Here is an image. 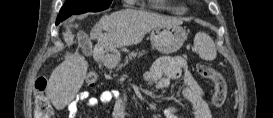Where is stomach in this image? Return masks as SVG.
<instances>
[{
	"label": "stomach",
	"instance_id": "0dacf381",
	"mask_svg": "<svg viewBox=\"0 0 273 118\" xmlns=\"http://www.w3.org/2000/svg\"><path fill=\"white\" fill-rule=\"evenodd\" d=\"M187 35L179 25H161L152 29L150 40L152 46L163 54H171L181 48ZM120 60L117 53L108 54L104 57V65L114 68Z\"/></svg>",
	"mask_w": 273,
	"mask_h": 118
}]
</instances>
